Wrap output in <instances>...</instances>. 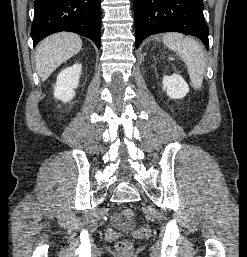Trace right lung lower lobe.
<instances>
[{"mask_svg": "<svg viewBox=\"0 0 247 257\" xmlns=\"http://www.w3.org/2000/svg\"><path fill=\"white\" fill-rule=\"evenodd\" d=\"M101 0H35L33 45L59 31L88 37L100 48Z\"/></svg>", "mask_w": 247, "mask_h": 257, "instance_id": "1", "label": "right lung lower lobe"}]
</instances>
